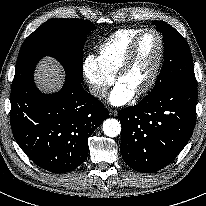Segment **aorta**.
I'll list each match as a JSON object with an SVG mask.
<instances>
[{
  "instance_id": "aorta-1",
  "label": "aorta",
  "mask_w": 206,
  "mask_h": 206,
  "mask_svg": "<svg viewBox=\"0 0 206 206\" xmlns=\"http://www.w3.org/2000/svg\"><path fill=\"white\" fill-rule=\"evenodd\" d=\"M103 132L108 137H116L121 132V124L114 118L106 119L103 122Z\"/></svg>"
}]
</instances>
